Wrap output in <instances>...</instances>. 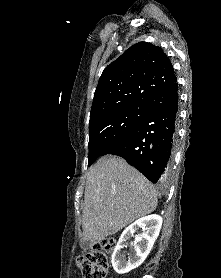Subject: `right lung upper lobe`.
<instances>
[{
	"instance_id": "right-lung-upper-lobe-1",
	"label": "right lung upper lobe",
	"mask_w": 221,
	"mask_h": 278,
	"mask_svg": "<svg viewBox=\"0 0 221 278\" xmlns=\"http://www.w3.org/2000/svg\"><path fill=\"white\" fill-rule=\"evenodd\" d=\"M176 81L167 55L158 46L140 42L103 71L94 93L90 119L147 98Z\"/></svg>"
}]
</instances>
